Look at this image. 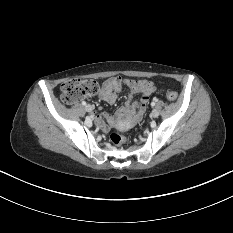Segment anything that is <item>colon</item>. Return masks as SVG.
Returning <instances> with one entry per match:
<instances>
[{
    "label": "colon",
    "instance_id": "1",
    "mask_svg": "<svg viewBox=\"0 0 233 233\" xmlns=\"http://www.w3.org/2000/svg\"><path fill=\"white\" fill-rule=\"evenodd\" d=\"M98 89L99 85L93 79H71L61 85V99L65 104H73L82 97L93 96ZM165 95L170 101H175L178 97V93L172 89H167ZM110 140L115 145H120L124 141L118 133L111 134Z\"/></svg>",
    "mask_w": 233,
    "mask_h": 233
}]
</instances>
